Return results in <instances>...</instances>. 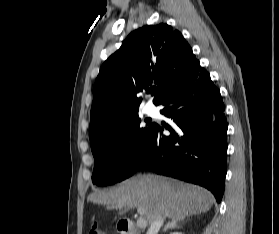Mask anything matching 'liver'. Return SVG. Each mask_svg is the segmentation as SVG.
<instances>
[{"label":"liver","instance_id":"1","mask_svg":"<svg viewBox=\"0 0 279 234\" xmlns=\"http://www.w3.org/2000/svg\"><path fill=\"white\" fill-rule=\"evenodd\" d=\"M88 200L113 205L123 215L132 208H142L148 224L159 215L184 219L208 211L214 203L206 189L153 174L131 177L108 192H95Z\"/></svg>","mask_w":279,"mask_h":234}]
</instances>
